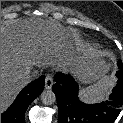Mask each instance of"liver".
I'll return each instance as SVG.
<instances>
[{
    "label": "liver",
    "instance_id": "liver-1",
    "mask_svg": "<svg viewBox=\"0 0 123 123\" xmlns=\"http://www.w3.org/2000/svg\"><path fill=\"white\" fill-rule=\"evenodd\" d=\"M92 52L55 21L26 18L1 26V113L28 84L23 74L34 66L73 69L83 82L94 80L99 76L98 64L86 65L80 56Z\"/></svg>",
    "mask_w": 123,
    "mask_h": 123
}]
</instances>
